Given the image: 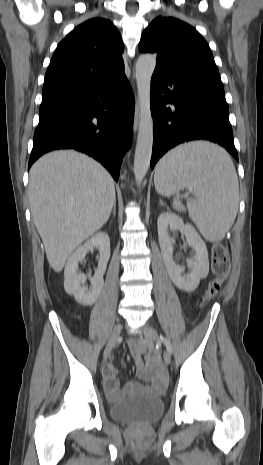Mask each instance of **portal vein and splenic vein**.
<instances>
[{"mask_svg":"<svg viewBox=\"0 0 263 465\" xmlns=\"http://www.w3.org/2000/svg\"><path fill=\"white\" fill-rule=\"evenodd\" d=\"M177 203H178V202H174V204H173V205H174V206H176V205H177Z\"/></svg>","mask_w":263,"mask_h":465,"instance_id":"portal-vein-and-splenic-vein-1","label":"portal vein and splenic vein"}]
</instances>
